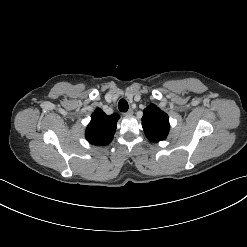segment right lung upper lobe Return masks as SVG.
Returning <instances> with one entry per match:
<instances>
[{"label":"right lung upper lobe","mask_w":247,"mask_h":247,"mask_svg":"<svg viewBox=\"0 0 247 247\" xmlns=\"http://www.w3.org/2000/svg\"><path fill=\"white\" fill-rule=\"evenodd\" d=\"M119 118L116 113L106 115L97 108L91 115V121L85 131L87 141L98 146L108 145L114 137Z\"/></svg>","instance_id":"right-lung-upper-lobe-1"}]
</instances>
